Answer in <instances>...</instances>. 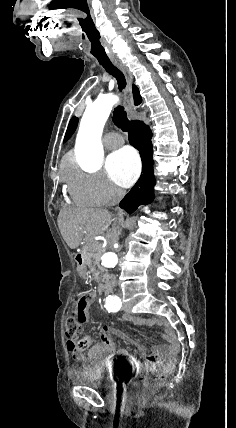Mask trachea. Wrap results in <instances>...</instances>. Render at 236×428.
Masks as SVG:
<instances>
[{
  "mask_svg": "<svg viewBox=\"0 0 236 428\" xmlns=\"http://www.w3.org/2000/svg\"><path fill=\"white\" fill-rule=\"evenodd\" d=\"M84 22L81 24V29L85 31L88 36L90 50L94 52V57L97 63L105 68L106 72L116 78L119 90H123L126 85V80L119 68L110 62V55L102 45L101 35L99 29L96 27L94 15L92 13H85L83 15ZM114 123L123 131H128L130 122L128 121L127 114L123 106H117L113 112Z\"/></svg>",
  "mask_w": 236,
  "mask_h": 428,
  "instance_id": "obj_1",
  "label": "trachea"
}]
</instances>
